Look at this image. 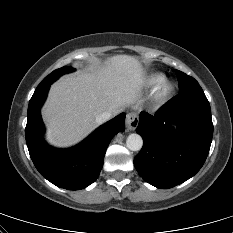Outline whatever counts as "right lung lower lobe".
<instances>
[{
  "label": "right lung lower lobe",
  "instance_id": "obj_1",
  "mask_svg": "<svg viewBox=\"0 0 233 233\" xmlns=\"http://www.w3.org/2000/svg\"><path fill=\"white\" fill-rule=\"evenodd\" d=\"M49 88L36 89L29 101L25 135L30 157L40 174L54 185L68 190L86 188L98 178L111 139L124 132L126 115L103 124L73 148H53L41 136L44 124L40 108Z\"/></svg>",
  "mask_w": 233,
  "mask_h": 233
}]
</instances>
